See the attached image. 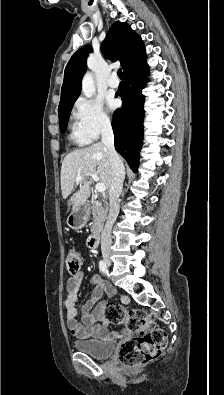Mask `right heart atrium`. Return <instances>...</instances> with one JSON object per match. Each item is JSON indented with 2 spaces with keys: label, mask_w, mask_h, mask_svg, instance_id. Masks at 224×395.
<instances>
[{
  "label": "right heart atrium",
  "mask_w": 224,
  "mask_h": 395,
  "mask_svg": "<svg viewBox=\"0 0 224 395\" xmlns=\"http://www.w3.org/2000/svg\"><path fill=\"white\" fill-rule=\"evenodd\" d=\"M72 116L77 131L90 140L97 139L112 127L109 114L98 100L78 98L74 103Z\"/></svg>",
  "instance_id": "obj_1"
}]
</instances>
